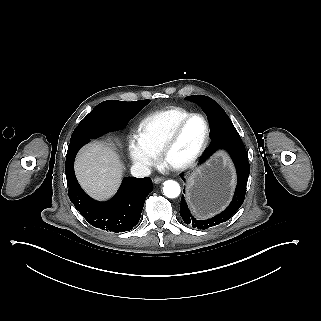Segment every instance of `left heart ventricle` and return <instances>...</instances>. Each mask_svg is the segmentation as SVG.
<instances>
[{
    "label": "left heart ventricle",
    "mask_w": 321,
    "mask_h": 321,
    "mask_svg": "<svg viewBox=\"0 0 321 321\" xmlns=\"http://www.w3.org/2000/svg\"><path fill=\"white\" fill-rule=\"evenodd\" d=\"M205 135V126L201 118L195 117L181 129L177 141L168 156L170 165L188 161L198 150Z\"/></svg>",
    "instance_id": "left-heart-ventricle-1"
}]
</instances>
